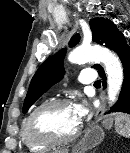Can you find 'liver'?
Instances as JSON below:
<instances>
[{
	"label": "liver",
	"mask_w": 130,
	"mask_h": 153,
	"mask_svg": "<svg viewBox=\"0 0 130 153\" xmlns=\"http://www.w3.org/2000/svg\"><path fill=\"white\" fill-rule=\"evenodd\" d=\"M59 153H68V150H61Z\"/></svg>",
	"instance_id": "obj_1"
}]
</instances>
